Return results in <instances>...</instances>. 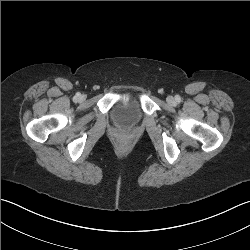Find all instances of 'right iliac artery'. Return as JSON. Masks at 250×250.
<instances>
[{"mask_svg":"<svg viewBox=\"0 0 250 250\" xmlns=\"http://www.w3.org/2000/svg\"><path fill=\"white\" fill-rule=\"evenodd\" d=\"M80 96V93H76L75 99H77Z\"/></svg>","mask_w":250,"mask_h":250,"instance_id":"82829eb1","label":"right iliac artery"}]
</instances>
